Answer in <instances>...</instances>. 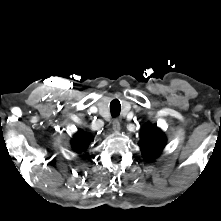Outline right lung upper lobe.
Wrapping results in <instances>:
<instances>
[{"instance_id":"1","label":"right lung upper lobe","mask_w":221,"mask_h":221,"mask_svg":"<svg viewBox=\"0 0 221 221\" xmlns=\"http://www.w3.org/2000/svg\"><path fill=\"white\" fill-rule=\"evenodd\" d=\"M92 141V137L79 130L72 140V146L76 152H82Z\"/></svg>"}]
</instances>
